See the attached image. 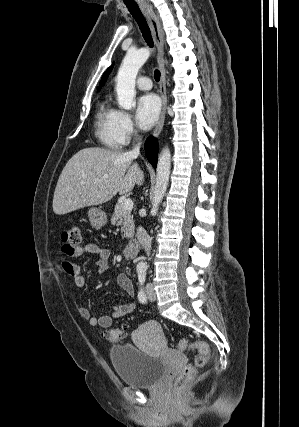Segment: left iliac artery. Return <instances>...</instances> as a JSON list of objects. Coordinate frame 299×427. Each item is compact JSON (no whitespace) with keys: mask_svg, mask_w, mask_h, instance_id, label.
<instances>
[{"mask_svg":"<svg viewBox=\"0 0 299 427\" xmlns=\"http://www.w3.org/2000/svg\"><path fill=\"white\" fill-rule=\"evenodd\" d=\"M138 280H139V284H140V289L138 291V299L141 303H145L146 302V294L144 292L143 289V285L146 281V270L145 269H139L138 270Z\"/></svg>","mask_w":299,"mask_h":427,"instance_id":"obj_1","label":"left iliac artery"}]
</instances>
